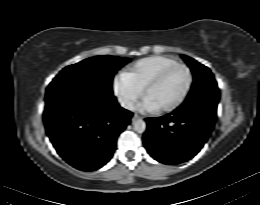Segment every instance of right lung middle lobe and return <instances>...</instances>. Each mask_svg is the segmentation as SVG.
I'll return each instance as SVG.
<instances>
[{
  "mask_svg": "<svg viewBox=\"0 0 260 205\" xmlns=\"http://www.w3.org/2000/svg\"><path fill=\"white\" fill-rule=\"evenodd\" d=\"M130 59L114 56H96L64 68L50 84L74 83L94 87L105 94L113 95L114 74Z\"/></svg>",
  "mask_w": 260,
  "mask_h": 205,
  "instance_id": "dd1d6c3e",
  "label": "right lung middle lobe"
}]
</instances>
